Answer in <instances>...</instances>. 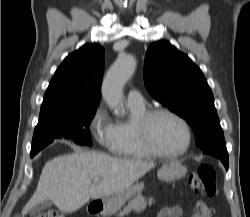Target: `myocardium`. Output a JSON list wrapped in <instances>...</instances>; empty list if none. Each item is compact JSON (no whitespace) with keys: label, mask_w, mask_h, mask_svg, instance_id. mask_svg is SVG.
Segmentation results:
<instances>
[{"label":"myocardium","mask_w":250,"mask_h":217,"mask_svg":"<svg viewBox=\"0 0 250 217\" xmlns=\"http://www.w3.org/2000/svg\"><path fill=\"white\" fill-rule=\"evenodd\" d=\"M158 115H168L177 120L182 127L184 128L186 134V144L185 146L175 152H163L157 148L153 142L150 126L153 119ZM136 131L139 137V140L143 147L152 155L158 158H175L185 154L192 143V132L188 122L175 111L166 108V107H155L147 110L137 121H136Z\"/></svg>","instance_id":"f54148a6"}]
</instances>
